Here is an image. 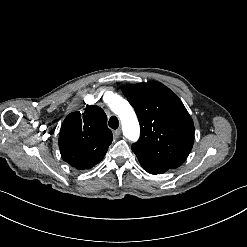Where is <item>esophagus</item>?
Here are the masks:
<instances>
[{"label": "esophagus", "instance_id": "34e87169", "mask_svg": "<svg viewBox=\"0 0 247 247\" xmlns=\"http://www.w3.org/2000/svg\"><path fill=\"white\" fill-rule=\"evenodd\" d=\"M120 134H121V130L120 129H117V130L113 131V137L115 139H117L120 136Z\"/></svg>", "mask_w": 247, "mask_h": 247}]
</instances>
